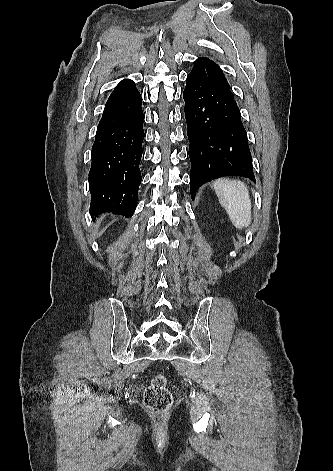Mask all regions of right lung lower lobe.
<instances>
[{"label": "right lung lower lobe", "mask_w": 333, "mask_h": 471, "mask_svg": "<svg viewBox=\"0 0 333 471\" xmlns=\"http://www.w3.org/2000/svg\"><path fill=\"white\" fill-rule=\"evenodd\" d=\"M144 114L132 80H122L108 98L91 153V216L112 212L127 218L137 206L141 183Z\"/></svg>", "instance_id": "obj_1"}]
</instances>
